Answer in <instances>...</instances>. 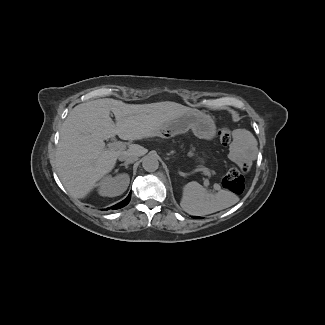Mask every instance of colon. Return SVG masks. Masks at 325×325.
Masks as SVG:
<instances>
[{"label":"colon","instance_id":"1","mask_svg":"<svg viewBox=\"0 0 325 325\" xmlns=\"http://www.w3.org/2000/svg\"><path fill=\"white\" fill-rule=\"evenodd\" d=\"M218 135L224 146H227L231 142V133L228 128L220 127ZM245 172V167L231 169L222 179V187L235 194H241L245 188Z\"/></svg>","mask_w":325,"mask_h":325}]
</instances>
